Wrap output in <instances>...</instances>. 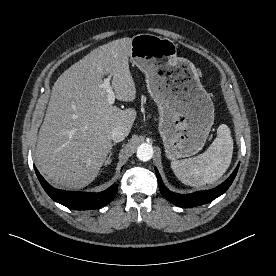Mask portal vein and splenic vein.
<instances>
[{
    "mask_svg": "<svg viewBox=\"0 0 276 276\" xmlns=\"http://www.w3.org/2000/svg\"><path fill=\"white\" fill-rule=\"evenodd\" d=\"M110 79V77L106 78L101 87L107 92V101L112 105L115 101V92L110 85Z\"/></svg>",
    "mask_w": 276,
    "mask_h": 276,
    "instance_id": "1",
    "label": "portal vein and splenic vein"
}]
</instances>
